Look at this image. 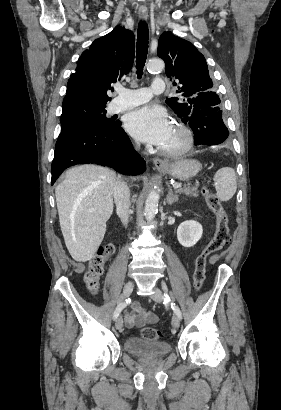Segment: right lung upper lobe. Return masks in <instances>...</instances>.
<instances>
[{
  "instance_id": "right-lung-upper-lobe-1",
  "label": "right lung upper lobe",
  "mask_w": 281,
  "mask_h": 410,
  "mask_svg": "<svg viewBox=\"0 0 281 410\" xmlns=\"http://www.w3.org/2000/svg\"><path fill=\"white\" fill-rule=\"evenodd\" d=\"M135 38L131 31L116 26L96 39L77 61L70 75L63 106L73 104L106 105L111 84L130 71L134 61Z\"/></svg>"
}]
</instances>
